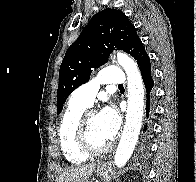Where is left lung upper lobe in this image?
Listing matches in <instances>:
<instances>
[{
  "label": "left lung upper lobe",
  "mask_w": 196,
  "mask_h": 182,
  "mask_svg": "<svg viewBox=\"0 0 196 182\" xmlns=\"http://www.w3.org/2000/svg\"><path fill=\"white\" fill-rule=\"evenodd\" d=\"M115 49L130 54L137 64L147 55L128 17L120 10L108 8L91 19L63 58L59 71L57 114L62 111L71 92L89 81L91 69L106 63Z\"/></svg>",
  "instance_id": "1"
}]
</instances>
